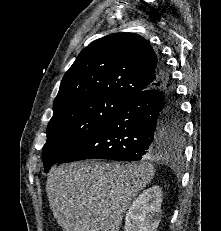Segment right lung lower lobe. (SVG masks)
I'll return each mask as SVG.
<instances>
[{
	"label": "right lung lower lobe",
	"instance_id": "98d812e1",
	"mask_svg": "<svg viewBox=\"0 0 221 231\" xmlns=\"http://www.w3.org/2000/svg\"><path fill=\"white\" fill-rule=\"evenodd\" d=\"M158 82L128 98L103 124L58 163L84 159L137 161L164 153L174 145L164 137L170 106L178 107L165 62L158 66Z\"/></svg>",
	"mask_w": 221,
	"mask_h": 231
}]
</instances>
